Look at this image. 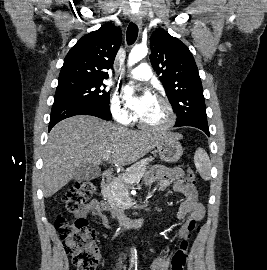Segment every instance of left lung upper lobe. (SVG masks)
<instances>
[{"label":"left lung upper lobe","instance_id":"obj_1","mask_svg":"<svg viewBox=\"0 0 267 270\" xmlns=\"http://www.w3.org/2000/svg\"><path fill=\"white\" fill-rule=\"evenodd\" d=\"M150 61L177 114L176 125L191 121L207 123L203 88L188 47L163 29L150 38Z\"/></svg>","mask_w":267,"mask_h":270}]
</instances>
